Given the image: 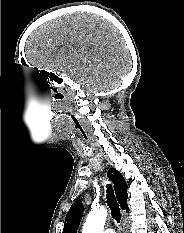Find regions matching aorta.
I'll return each instance as SVG.
<instances>
[{"instance_id":"1","label":"aorta","mask_w":184,"mask_h":233,"mask_svg":"<svg viewBox=\"0 0 184 233\" xmlns=\"http://www.w3.org/2000/svg\"><path fill=\"white\" fill-rule=\"evenodd\" d=\"M107 210L105 208L93 209L84 223L82 233H103Z\"/></svg>"}]
</instances>
